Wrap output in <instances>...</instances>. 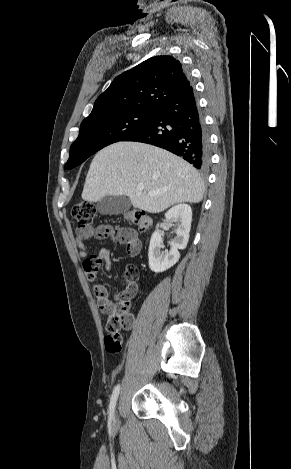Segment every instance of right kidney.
Segmentation results:
<instances>
[{"instance_id":"1","label":"right kidney","mask_w":291,"mask_h":469,"mask_svg":"<svg viewBox=\"0 0 291 469\" xmlns=\"http://www.w3.org/2000/svg\"><path fill=\"white\" fill-rule=\"evenodd\" d=\"M167 222H175V238L171 242L169 252H162V235L158 229L152 234L149 245V267L155 273L163 272L176 264L180 258L179 250L186 248L191 229L192 210L187 204H179L172 207L166 214Z\"/></svg>"}]
</instances>
